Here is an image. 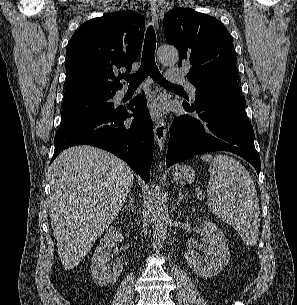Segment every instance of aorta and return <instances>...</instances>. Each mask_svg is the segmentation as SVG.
<instances>
[{"label":"aorta","mask_w":297,"mask_h":305,"mask_svg":"<svg viewBox=\"0 0 297 305\" xmlns=\"http://www.w3.org/2000/svg\"><path fill=\"white\" fill-rule=\"evenodd\" d=\"M157 58L162 64L174 65L179 60V52L174 47H160ZM150 202L153 228L152 246L154 250H159L166 238L169 221L166 197L160 185L153 186Z\"/></svg>","instance_id":"obj_1"}]
</instances>
